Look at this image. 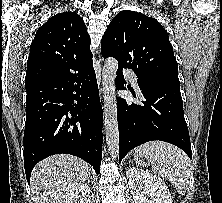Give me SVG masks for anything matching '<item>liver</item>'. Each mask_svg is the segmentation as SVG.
I'll use <instances>...</instances> for the list:
<instances>
[{
  "label": "liver",
  "mask_w": 222,
  "mask_h": 203,
  "mask_svg": "<svg viewBox=\"0 0 222 203\" xmlns=\"http://www.w3.org/2000/svg\"><path fill=\"white\" fill-rule=\"evenodd\" d=\"M88 173L87 163L72 155L57 154L40 161L30 178L35 203H59Z\"/></svg>",
  "instance_id": "6515ba94"
}]
</instances>
